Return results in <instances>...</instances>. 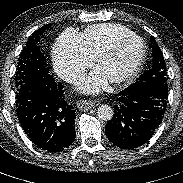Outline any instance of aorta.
Masks as SVG:
<instances>
[{"instance_id": "1", "label": "aorta", "mask_w": 183, "mask_h": 183, "mask_svg": "<svg viewBox=\"0 0 183 183\" xmlns=\"http://www.w3.org/2000/svg\"><path fill=\"white\" fill-rule=\"evenodd\" d=\"M97 113H98V117L104 121L111 120L114 115L113 109L106 104H102L101 106H99Z\"/></svg>"}]
</instances>
